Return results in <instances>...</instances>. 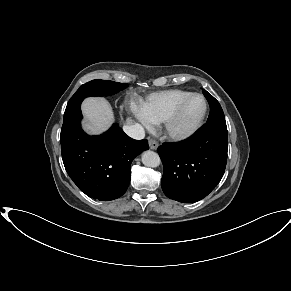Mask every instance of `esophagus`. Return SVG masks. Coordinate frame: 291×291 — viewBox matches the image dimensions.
<instances>
[{"label": "esophagus", "mask_w": 291, "mask_h": 291, "mask_svg": "<svg viewBox=\"0 0 291 291\" xmlns=\"http://www.w3.org/2000/svg\"><path fill=\"white\" fill-rule=\"evenodd\" d=\"M149 147L152 150H156L158 148V142L155 139H149Z\"/></svg>", "instance_id": "obj_1"}]
</instances>
